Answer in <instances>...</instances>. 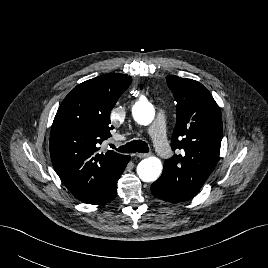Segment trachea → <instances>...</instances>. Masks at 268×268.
<instances>
[{
	"mask_svg": "<svg viewBox=\"0 0 268 268\" xmlns=\"http://www.w3.org/2000/svg\"><path fill=\"white\" fill-rule=\"evenodd\" d=\"M112 148H115L114 145H111ZM117 151L121 153H147L149 152V147L145 141L142 140H133L123 146H120Z\"/></svg>",
	"mask_w": 268,
	"mask_h": 268,
	"instance_id": "trachea-1",
	"label": "trachea"
}]
</instances>
